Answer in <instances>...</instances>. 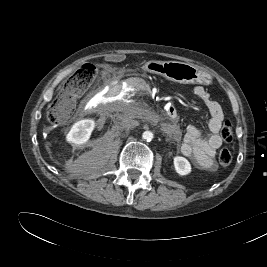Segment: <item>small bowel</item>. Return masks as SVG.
I'll list each match as a JSON object with an SVG mask.
<instances>
[{
    "instance_id": "1",
    "label": "small bowel",
    "mask_w": 267,
    "mask_h": 267,
    "mask_svg": "<svg viewBox=\"0 0 267 267\" xmlns=\"http://www.w3.org/2000/svg\"><path fill=\"white\" fill-rule=\"evenodd\" d=\"M193 93L205 104L210 114L208 122L210 134L204 136L197 127L188 126L181 152L190 158L197 167L212 171L216 169L214 162L216 151L222 145L219 131L224 120V113L221 105L210 97V94L203 86H195Z\"/></svg>"
}]
</instances>
